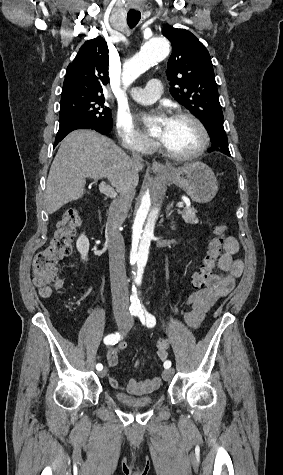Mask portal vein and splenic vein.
Listing matches in <instances>:
<instances>
[{
    "label": "portal vein and splenic vein",
    "instance_id": "18ae733b",
    "mask_svg": "<svg viewBox=\"0 0 283 475\" xmlns=\"http://www.w3.org/2000/svg\"><path fill=\"white\" fill-rule=\"evenodd\" d=\"M99 190L100 192H102V194H105V196H108V198H116L117 196L115 190H113L111 186H107L105 182H102V184H100ZM184 204H186V206H189L187 202H178L177 208H184Z\"/></svg>",
    "mask_w": 283,
    "mask_h": 475
}]
</instances>
